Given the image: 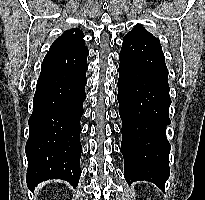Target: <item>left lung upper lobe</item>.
Returning <instances> with one entry per match:
<instances>
[{
	"instance_id": "obj_1",
	"label": "left lung upper lobe",
	"mask_w": 205,
	"mask_h": 200,
	"mask_svg": "<svg viewBox=\"0 0 205 200\" xmlns=\"http://www.w3.org/2000/svg\"><path fill=\"white\" fill-rule=\"evenodd\" d=\"M130 38H155L151 33L145 30L140 24H137L134 29H132L124 39Z\"/></svg>"
}]
</instances>
